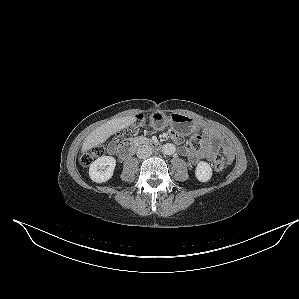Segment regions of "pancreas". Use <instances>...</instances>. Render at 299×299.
<instances>
[{"mask_svg": "<svg viewBox=\"0 0 299 299\" xmlns=\"http://www.w3.org/2000/svg\"><path fill=\"white\" fill-rule=\"evenodd\" d=\"M146 140H147L146 137H143V136H139V137L135 138V141H137V142H143V141H146Z\"/></svg>", "mask_w": 299, "mask_h": 299, "instance_id": "pancreas-1", "label": "pancreas"}]
</instances>
